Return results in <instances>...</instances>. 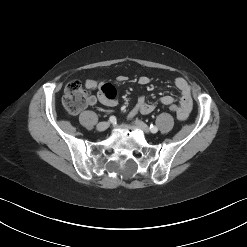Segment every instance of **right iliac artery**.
<instances>
[{"label": "right iliac artery", "instance_id": "obj_1", "mask_svg": "<svg viewBox=\"0 0 247 247\" xmlns=\"http://www.w3.org/2000/svg\"><path fill=\"white\" fill-rule=\"evenodd\" d=\"M109 120H110V122L114 123V122L116 121V118H115V116H111V117L109 118Z\"/></svg>", "mask_w": 247, "mask_h": 247}]
</instances>
